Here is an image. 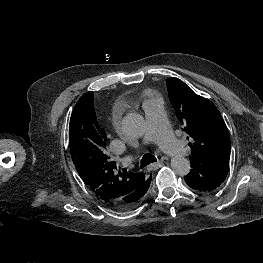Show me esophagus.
<instances>
[{
	"label": "esophagus",
	"instance_id": "34e87169",
	"mask_svg": "<svg viewBox=\"0 0 263 263\" xmlns=\"http://www.w3.org/2000/svg\"><path fill=\"white\" fill-rule=\"evenodd\" d=\"M162 165H163V162H162V161H158V162H155V163L150 164V165L147 167V170H148V171H152V170H155V169L161 167Z\"/></svg>",
	"mask_w": 263,
	"mask_h": 263
}]
</instances>
